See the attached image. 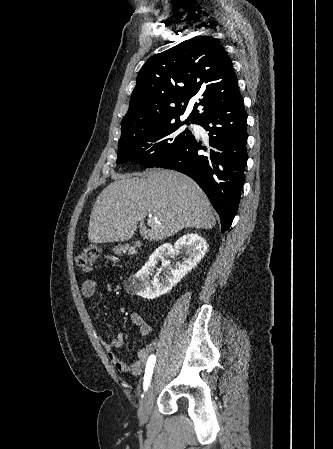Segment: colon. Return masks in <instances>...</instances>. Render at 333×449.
<instances>
[{
    "instance_id": "1",
    "label": "colon",
    "mask_w": 333,
    "mask_h": 449,
    "mask_svg": "<svg viewBox=\"0 0 333 449\" xmlns=\"http://www.w3.org/2000/svg\"><path fill=\"white\" fill-rule=\"evenodd\" d=\"M100 255V250L96 246L86 247L76 259L77 265L84 271L92 269Z\"/></svg>"
}]
</instances>
